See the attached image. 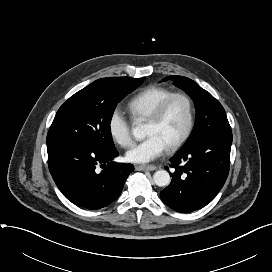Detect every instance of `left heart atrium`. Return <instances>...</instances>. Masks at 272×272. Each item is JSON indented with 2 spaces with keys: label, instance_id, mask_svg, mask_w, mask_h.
<instances>
[{
  "label": "left heart atrium",
  "instance_id": "1",
  "mask_svg": "<svg viewBox=\"0 0 272 272\" xmlns=\"http://www.w3.org/2000/svg\"><path fill=\"white\" fill-rule=\"evenodd\" d=\"M166 149V144L159 136L150 135L144 141L133 145L126 152V159L132 163H147L162 155Z\"/></svg>",
  "mask_w": 272,
  "mask_h": 272
}]
</instances>
